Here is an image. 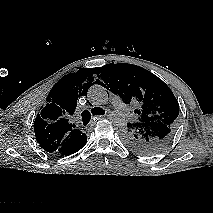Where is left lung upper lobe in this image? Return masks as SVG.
I'll return each mask as SVG.
<instances>
[{"instance_id":"5c2ea615","label":"left lung upper lobe","mask_w":213,"mask_h":213,"mask_svg":"<svg viewBox=\"0 0 213 213\" xmlns=\"http://www.w3.org/2000/svg\"><path fill=\"white\" fill-rule=\"evenodd\" d=\"M97 82L135 105L134 121L122 131L126 145L142 154L166 148L177 129L179 104L171 89L150 71L133 64L118 63L96 69Z\"/></svg>"}]
</instances>
